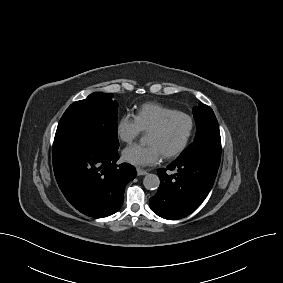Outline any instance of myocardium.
Here are the masks:
<instances>
[{
	"label": "myocardium",
	"instance_id": "myocardium-1",
	"mask_svg": "<svg viewBox=\"0 0 283 283\" xmlns=\"http://www.w3.org/2000/svg\"><path fill=\"white\" fill-rule=\"evenodd\" d=\"M179 117L184 118L188 121V124H189L188 133H187L184 141L175 150L163 154V156L165 158H168V159L179 156L189 145L190 140H191L193 133H194V128H195V123H194L193 118L187 113L177 111V112H174V113L166 116L161 122H159L155 127H153L151 130L148 131V133L163 132L173 119L179 118Z\"/></svg>",
	"mask_w": 283,
	"mask_h": 283
}]
</instances>
